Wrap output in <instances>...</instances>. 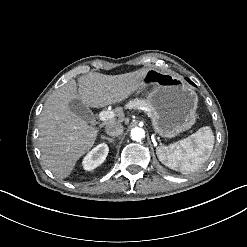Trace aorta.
I'll return each instance as SVG.
<instances>
[{
  "mask_svg": "<svg viewBox=\"0 0 247 247\" xmlns=\"http://www.w3.org/2000/svg\"><path fill=\"white\" fill-rule=\"evenodd\" d=\"M145 137V131L142 128L135 127L131 130V139L134 141H141Z\"/></svg>",
  "mask_w": 247,
  "mask_h": 247,
  "instance_id": "1",
  "label": "aorta"
}]
</instances>
